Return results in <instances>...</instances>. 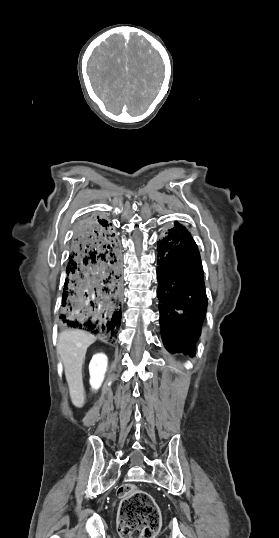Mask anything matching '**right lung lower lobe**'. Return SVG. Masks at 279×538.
<instances>
[{"mask_svg":"<svg viewBox=\"0 0 279 538\" xmlns=\"http://www.w3.org/2000/svg\"><path fill=\"white\" fill-rule=\"evenodd\" d=\"M60 326L92 334L113 333L121 324L122 260L112 224L89 214L70 242Z\"/></svg>","mask_w":279,"mask_h":538,"instance_id":"right-lung-lower-lobe-1","label":"right lung lower lobe"}]
</instances>
